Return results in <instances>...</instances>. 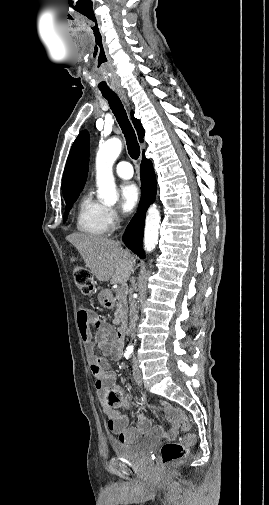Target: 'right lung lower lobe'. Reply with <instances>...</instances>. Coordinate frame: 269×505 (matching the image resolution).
<instances>
[{
    "label": "right lung lower lobe",
    "mask_w": 269,
    "mask_h": 505,
    "mask_svg": "<svg viewBox=\"0 0 269 505\" xmlns=\"http://www.w3.org/2000/svg\"><path fill=\"white\" fill-rule=\"evenodd\" d=\"M141 173V201L137 213L128 224L123 235L126 246L140 258H145L142 249L145 213L156 195V177L151 160L144 158L140 166Z\"/></svg>",
    "instance_id": "1"
}]
</instances>
